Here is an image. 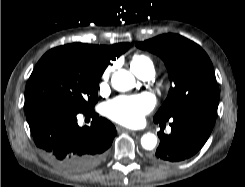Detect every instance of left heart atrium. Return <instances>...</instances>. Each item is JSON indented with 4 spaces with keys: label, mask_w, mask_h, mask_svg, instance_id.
<instances>
[{
    "label": "left heart atrium",
    "mask_w": 245,
    "mask_h": 187,
    "mask_svg": "<svg viewBox=\"0 0 245 187\" xmlns=\"http://www.w3.org/2000/svg\"><path fill=\"white\" fill-rule=\"evenodd\" d=\"M155 98L150 93L133 96H119L105 106L106 115L126 126H137L155 106Z\"/></svg>",
    "instance_id": "1"
}]
</instances>
